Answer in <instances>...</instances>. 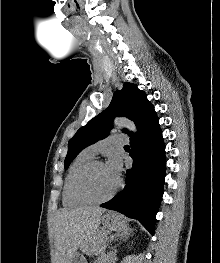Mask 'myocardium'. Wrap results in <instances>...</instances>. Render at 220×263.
I'll list each match as a JSON object with an SVG mask.
<instances>
[{
    "mask_svg": "<svg viewBox=\"0 0 220 263\" xmlns=\"http://www.w3.org/2000/svg\"><path fill=\"white\" fill-rule=\"evenodd\" d=\"M104 164L101 160H92L87 163L76 175L74 183H73V192L76 198L85 202V203H92V204H99L110 200L121 187V180H117V184L114 189L103 197H93L89 195L84 189V181L90 171L97 165Z\"/></svg>",
    "mask_w": 220,
    "mask_h": 263,
    "instance_id": "myocardium-1",
    "label": "myocardium"
}]
</instances>
